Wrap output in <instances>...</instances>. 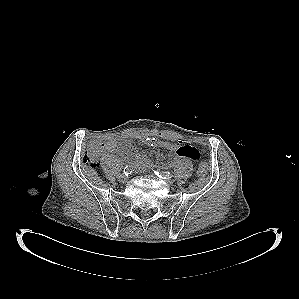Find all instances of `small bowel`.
Returning a JSON list of instances; mask_svg holds the SVG:
<instances>
[{
	"instance_id": "small-bowel-1",
	"label": "small bowel",
	"mask_w": 299,
	"mask_h": 299,
	"mask_svg": "<svg viewBox=\"0 0 299 299\" xmlns=\"http://www.w3.org/2000/svg\"><path fill=\"white\" fill-rule=\"evenodd\" d=\"M143 141L148 145L166 149L179 158H188L193 161H199L201 158L199 150L191 145H177L154 137H144ZM119 150L120 148L116 140L110 139L104 143V151L106 152H115ZM122 156H129L133 160L132 165L137 168H146L149 165L148 158L143 154L133 151H122Z\"/></svg>"
}]
</instances>
